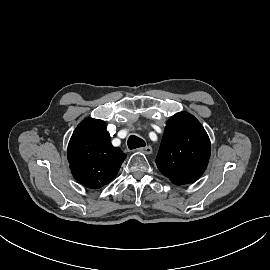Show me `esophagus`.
<instances>
[{"label": "esophagus", "mask_w": 270, "mask_h": 270, "mask_svg": "<svg viewBox=\"0 0 270 270\" xmlns=\"http://www.w3.org/2000/svg\"><path fill=\"white\" fill-rule=\"evenodd\" d=\"M138 151L142 152L144 154H151L152 153V147L151 146L141 147V148H138Z\"/></svg>", "instance_id": "34e87169"}]
</instances>
